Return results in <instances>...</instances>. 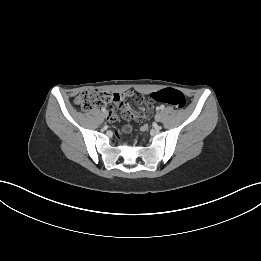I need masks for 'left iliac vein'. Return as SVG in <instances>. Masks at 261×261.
<instances>
[{
  "instance_id": "left-iliac-vein-1",
  "label": "left iliac vein",
  "mask_w": 261,
  "mask_h": 261,
  "mask_svg": "<svg viewBox=\"0 0 261 261\" xmlns=\"http://www.w3.org/2000/svg\"><path fill=\"white\" fill-rule=\"evenodd\" d=\"M155 120H156L157 122H160V121L162 120V113H161V112H158V113L156 114Z\"/></svg>"
}]
</instances>
